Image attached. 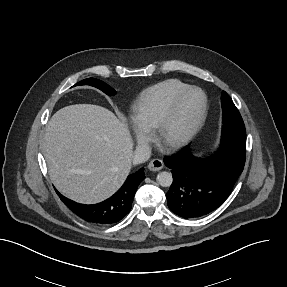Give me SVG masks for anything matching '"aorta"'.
Here are the masks:
<instances>
[{"instance_id": "obj_1", "label": "aorta", "mask_w": 287, "mask_h": 287, "mask_svg": "<svg viewBox=\"0 0 287 287\" xmlns=\"http://www.w3.org/2000/svg\"><path fill=\"white\" fill-rule=\"evenodd\" d=\"M157 182L162 187H169L173 182V177L170 172L162 171L157 175Z\"/></svg>"}]
</instances>
